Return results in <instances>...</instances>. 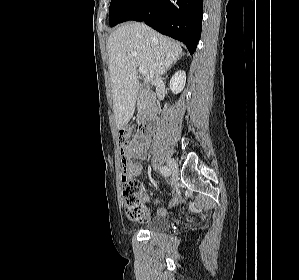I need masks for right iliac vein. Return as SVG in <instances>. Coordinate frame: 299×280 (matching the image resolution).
I'll return each mask as SVG.
<instances>
[{"instance_id": "63e3f726", "label": "right iliac vein", "mask_w": 299, "mask_h": 280, "mask_svg": "<svg viewBox=\"0 0 299 280\" xmlns=\"http://www.w3.org/2000/svg\"><path fill=\"white\" fill-rule=\"evenodd\" d=\"M167 164L172 173L173 180L176 181L178 176V165L176 161L174 159H169Z\"/></svg>"}]
</instances>
